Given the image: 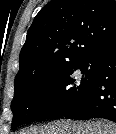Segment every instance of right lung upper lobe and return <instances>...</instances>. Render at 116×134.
<instances>
[{
	"label": "right lung upper lobe",
	"mask_w": 116,
	"mask_h": 134,
	"mask_svg": "<svg viewBox=\"0 0 116 134\" xmlns=\"http://www.w3.org/2000/svg\"><path fill=\"white\" fill-rule=\"evenodd\" d=\"M114 46V0H52L27 32L14 80L15 94L75 63L93 62Z\"/></svg>",
	"instance_id": "right-lung-upper-lobe-1"
}]
</instances>
